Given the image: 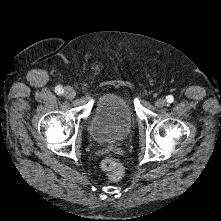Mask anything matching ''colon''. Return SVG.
Instances as JSON below:
<instances>
[{
	"mask_svg": "<svg viewBox=\"0 0 221 221\" xmlns=\"http://www.w3.org/2000/svg\"><path fill=\"white\" fill-rule=\"evenodd\" d=\"M101 168L109 175L110 179L113 181L121 180L124 175L123 164L115 158H105L101 162Z\"/></svg>",
	"mask_w": 221,
	"mask_h": 221,
	"instance_id": "1",
	"label": "colon"
}]
</instances>
